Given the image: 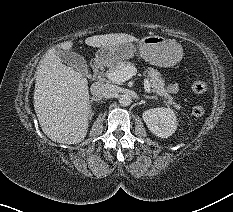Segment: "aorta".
<instances>
[{
	"mask_svg": "<svg viewBox=\"0 0 233 212\" xmlns=\"http://www.w3.org/2000/svg\"><path fill=\"white\" fill-rule=\"evenodd\" d=\"M132 102V98L129 94H122L119 98V103L121 106H129Z\"/></svg>",
	"mask_w": 233,
	"mask_h": 212,
	"instance_id": "1",
	"label": "aorta"
}]
</instances>
